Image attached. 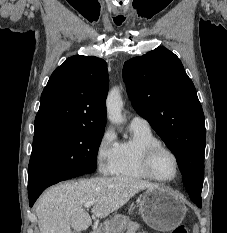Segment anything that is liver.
<instances>
[{
	"label": "liver",
	"instance_id": "6515ba94",
	"mask_svg": "<svg viewBox=\"0 0 227 233\" xmlns=\"http://www.w3.org/2000/svg\"><path fill=\"white\" fill-rule=\"evenodd\" d=\"M156 184L128 177H102L65 182L44 192L35 204L40 233H73L86 230L92 220L83 205L96 201L92 213L105 218L142 190Z\"/></svg>",
	"mask_w": 227,
	"mask_h": 233
}]
</instances>
